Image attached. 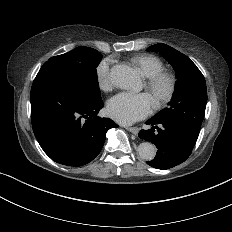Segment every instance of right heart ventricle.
Here are the masks:
<instances>
[{
  "mask_svg": "<svg viewBox=\"0 0 232 232\" xmlns=\"http://www.w3.org/2000/svg\"><path fill=\"white\" fill-rule=\"evenodd\" d=\"M135 63L139 66L145 78H151L164 71L163 63L155 56L143 54L135 57Z\"/></svg>",
  "mask_w": 232,
  "mask_h": 232,
  "instance_id": "1",
  "label": "right heart ventricle"
}]
</instances>
